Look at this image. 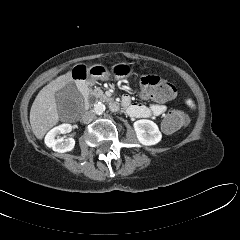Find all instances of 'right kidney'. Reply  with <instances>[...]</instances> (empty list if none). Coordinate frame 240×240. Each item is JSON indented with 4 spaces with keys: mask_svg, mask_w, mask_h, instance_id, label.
I'll list each match as a JSON object with an SVG mask.
<instances>
[{
    "mask_svg": "<svg viewBox=\"0 0 240 240\" xmlns=\"http://www.w3.org/2000/svg\"><path fill=\"white\" fill-rule=\"evenodd\" d=\"M72 129L70 124H62L51 129L45 136V144L49 148L59 153L71 151L75 146V140L73 138L63 139L58 135L68 133Z\"/></svg>",
    "mask_w": 240,
    "mask_h": 240,
    "instance_id": "ca27d5eb",
    "label": "right kidney"
}]
</instances>
